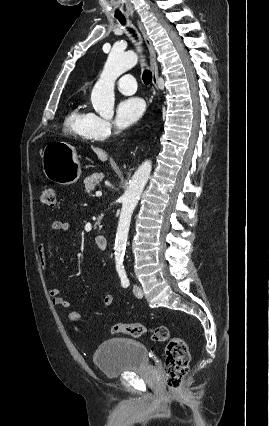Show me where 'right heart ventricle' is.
<instances>
[{"label":"right heart ventricle","mask_w":269,"mask_h":426,"mask_svg":"<svg viewBox=\"0 0 269 426\" xmlns=\"http://www.w3.org/2000/svg\"><path fill=\"white\" fill-rule=\"evenodd\" d=\"M94 114L83 105L75 107L67 116L65 126L67 129L84 138L92 139L91 125Z\"/></svg>","instance_id":"right-heart-ventricle-1"}]
</instances>
